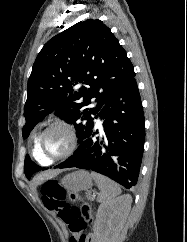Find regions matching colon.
Here are the masks:
<instances>
[{"label":"colon","mask_w":187,"mask_h":242,"mask_svg":"<svg viewBox=\"0 0 187 242\" xmlns=\"http://www.w3.org/2000/svg\"><path fill=\"white\" fill-rule=\"evenodd\" d=\"M41 194L44 206L54 212L71 233L70 242H90L89 235L84 232L93 220L92 205L88 201L79 195L69 194L57 180L43 184Z\"/></svg>","instance_id":"5ec220e1"}]
</instances>
